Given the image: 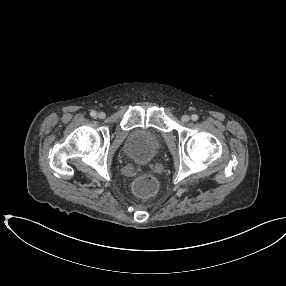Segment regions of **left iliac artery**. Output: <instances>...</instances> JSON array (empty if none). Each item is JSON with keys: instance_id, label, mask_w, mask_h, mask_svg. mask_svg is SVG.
Returning <instances> with one entry per match:
<instances>
[{"instance_id": "obj_1", "label": "left iliac artery", "mask_w": 286, "mask_h": 286, "mask_svg": "<svg viewBox=\"0 0 286 286\" xmlns=\"http://www.w3.org/2000/svg\"><path fill=\"white\" fill-rule=\"evenodd\" d=\"M191 118H192L193 121H197V120H198V115L193 114V115L191 116Z\"/></svg>"}]
</instances>
